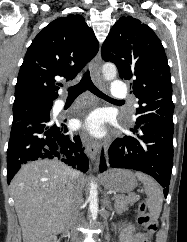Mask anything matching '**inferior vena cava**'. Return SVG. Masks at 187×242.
<instances>
[{
	"mask_svg": "<svg viewBox=\"0 0 187 242\" xmlns=\"http://www.w3.org/2000/svg\"><path fill=\"white\" fill-rule=\"evenodd\" d=\"M78 172L72 171L71 173V215L69 219V225L71 227V242H80V237L75 230L76 224L79 220L80 207L83 203L82 187L76 181Z\"/></svg>",
	"mask_w": 187,
	"mask_h": 242,
	"instance_id": "inferior-vena-cava-1",
	"label": "inferior vena cava"
}]
</instances>
